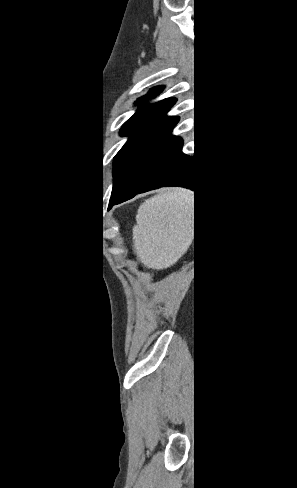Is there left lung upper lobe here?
<instances>
[{"mask_svg": "<svg viewBox=\"0 0 297 488\" xmlns=\"http://www.w3.org/2000/svg\"><path fill=\"white\" fill-rule=\"evenodd\" d=\"M162 90V86L154 87L147 96L139 98L135 104L141 105V108L121 128L120 134L129 136V139L114 157L110 201L120 196L143 167L174 138L171 131L179 118L167 117L165 114L176 99L167 98L151 105L142 104Z\"/></svg>", "mask_w": 297, "mask_h": 488, "instance_id": "left-lung-upper-lobe-1", "label": "left lung upper lobe"}]
</instances>
